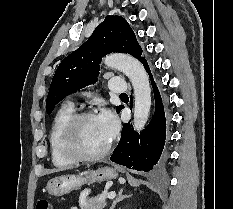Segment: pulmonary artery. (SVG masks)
Segmentation results:
<instances>
[{
    "label": "pulmonary artery",
    "instance_id": "1",
    "mask_svg": "<svg viewBox=\"0 0 233 209\" xmlns=\"http://www.w3.org/2000/svg\"><path fill=\"white\" fill-rule=\"evenodd\" d=\"M109 88L115 93H125L127 88L124 81L119 77H111L109 80Z\"/></svg>",
    "mask_w": 233,
    "mask_h": 209
}]
</instances>
